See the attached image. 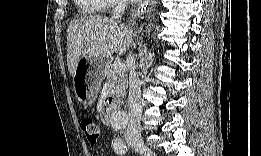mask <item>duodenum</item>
Masks as SVG:
<instances>
[{
    "instance_id": "410a0bca",
    "label": "duodenum",
    "mask_w": 261,
    "mask_h": 156,
    "mask_svg": "<svg viewBox=\"0 0 261 156\" xmlns=\"http://www.w3.org/2000/svg\"><path fill=\"white\" fill-rule=\"evenodd\" d=\"M107 102L110 103V104H113L115 106H121L122 105L121 99L117 96L108 97Z\"/></svg>"
}]
</instances>
